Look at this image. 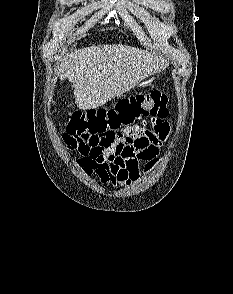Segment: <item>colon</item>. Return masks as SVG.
I'll return each instance as SVG.
<instances>
[{
    "label": "colon",
    "instance_id": "obj_1",
    "mask_svg": "<svg viewBox=\"0 0 233 294\" xmlns=\"http://www.w3.org/2000/svg\"><path fill=\"white\" fill-rule=\"evenodd\" d=\"M168 114L166 95L152 91L123 99L111 109L73 112L65 124L64 140L82 157H98L105 149H122L132 143V137H125V132H132L130 126L142 117L166 118Z\"/></svg>",
    "mask_w": 233,
    "mask_h": 294
}]
</instances>
